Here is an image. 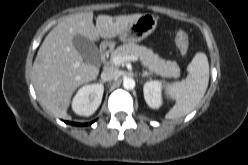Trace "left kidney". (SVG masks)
<instances>
[{
	"label": "left kidney",
	"instance_id": "obj_1",
	"mask_svg": "<svg viewBox=\"0 0 248 165\" xmlns=\"http://www.w3.org/2000/svg\"><path fill=\"white\" fill-rule=\"evenodd\" d=\"M144 99L151 108H159L162 104V83L157 80H150L143 87Z\"/></svg>",
	"mask_w": 248,
	"mask_h": 165
}]
</instances>
